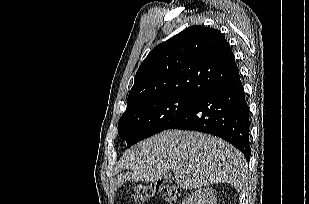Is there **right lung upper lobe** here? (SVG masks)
<instances>
[{"instance_id":"cb5924a9","label":"right lung upper lobe","mask_w":309,"mask_h":204,"mask_svg":"<svg viewBox=\"0 0 309 204\" xmlns=\"http://www.w3.org/2000/svg\"><path fill=\"white\" fill-rule=\"evenodd\" d=\"M239 74L223 34L191 26L156 46L140 65L127 105L165 95L201 97Z\"/></svg>"}]
</instances>
